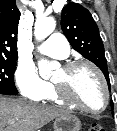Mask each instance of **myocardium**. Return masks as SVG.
<instances>
[{"label": "myocardium", "instance_id": "myocardium-1", "mask_svg": "<svg viewBox=\"0 0 117 131\" xmlns=\"http://www.w3.org/2000/svg\"><path fill=\"white\" fill-rule=\"evenodd\" d=\"M80 66H86L88 68H90L98 77L102 89H103V93H104V102L103 105L100 109L98 110H92L87 108L86 106H84L82 103H80L78 100H76L69 92L67 85L63 82H57V81H52L53 83V87L54 90L58 96V98L60 100H62L64 103L73 106L83 112L89 113V114H99L101 112H103L109 103V99H110V93H109V89H108V85L107 82L105 80V77L103 75V73L101 72V70L92 62L87 61V60H71V61H67L62 65V69L69 73L71 71H73L74 69L80 67Z\"/></svg>", "mask_w": 117, "mask_h": 131}]
</instances>
